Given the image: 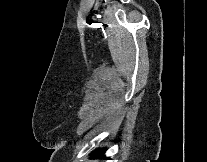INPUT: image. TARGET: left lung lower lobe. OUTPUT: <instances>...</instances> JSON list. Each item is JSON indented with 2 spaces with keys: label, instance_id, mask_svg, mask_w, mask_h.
<instances>
[{
  "label": "left lung lower lobe",
  "instance_id": "obj_1",
  "mask_svg": "<svg viewBox=\"0 0 207 162\" xmlns=\"http://www.w3.org/2000/svg\"><path fill=\"white\" fill-rule=\"evenodd\" d=\"M105 151H106V149H99V150H97V151H95L94 153H93V156L94 157H98V156H103L104 155V153H105Z\"/></svg>",
  "mask_w": 207,
  "mask_h": 162
}]
</instances>
